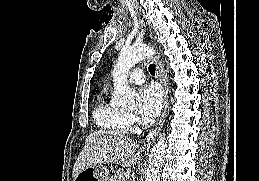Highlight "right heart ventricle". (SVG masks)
<instances>
[{"mask_svg": "<svg viewBox=\"0 0 259 181\" xmlns=\"http://www.w3.org/2000/svg\"><path fill=\"white\" fill-rule=\"evenodd\" d=\"M93 119L99 128L106 131L122 132L128 128L126 114L106 100L105 92L98 96Z\"/></svg>", "mask_w": 259, "mask_h": 181, "instance_id": "obj_1", "label": "right heart ventricle"}]
</instances>
